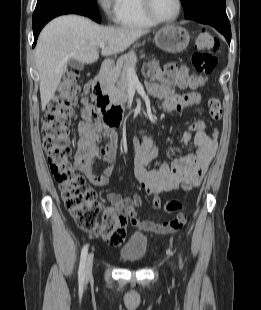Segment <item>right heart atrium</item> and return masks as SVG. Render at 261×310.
<instances>
[{
	"label": "right heart atrium",
	"instance_id": "d8ad5b80",
	"mask_svg": "<svg viewBox=\"0 0 261 310\" xmlns=\"http://www.w3.org/2000/svg\"><path fill=\"white\" fill-rule=\"evenodd\" d=\"M97 4L108 19H115L116 0H97Z\"/></svg>",
	"mask_w": 261,
	"mask_h": 310
}]
</instances>
